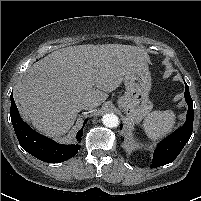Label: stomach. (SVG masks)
I'll return each mask as SVG.
<instances>
[{
    "label": "stomach",
    "mask_w": 201,
    "mask_h": 201,
    "mask_svg": "<svg viewBox=\"0 0 201 201\" xmlns=\"http://www.w3.org/2000/svg\"><path fill=\"white\" fill-rule=\"evenodd\" d=\"M125 93L118 99V106L132 122H140L152 110L149 100L151 76L148 63H141L124 76Z\"/></svg>",
    "instance_id": "obj_1"
}]
</instances>
